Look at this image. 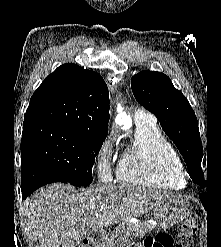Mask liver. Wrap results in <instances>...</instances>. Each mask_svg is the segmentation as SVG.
<instances>
[{
    "label": "liver",
    "instance_id": "obj_1",
    "mask_svg": "<svg viewBox=\"0 0 221 247\" xmlns=\"http://www.w3.org/2000/svg\"><path fill=\"white\" fill-rule=\"evenodd\" d=\"M177 195L137 186H102L77 193L55 183L24 202L41 247H76L89 229L102 230L166 204Z\"/></svg>",
    "mask_w": 221,
    "mask_h": 247
}]
</instances>
